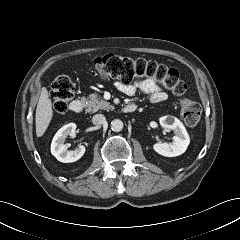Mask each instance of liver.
<instances>
[{"label": "liver", "instance_id": "obj_1", "mask_svg": "<svg viewBox=\"0 0 240 240\" xmlns=\"http://www.w3.org/2000/svg\"><path fill=\"white\" fill-rule=\"evenodd\" d=\"M53 116L52 101L46 88H43L36 108L35 123L37 137L43 136Z\"/></svg>", "mask_w": 240, "mask_h": 240}]
</instances>
